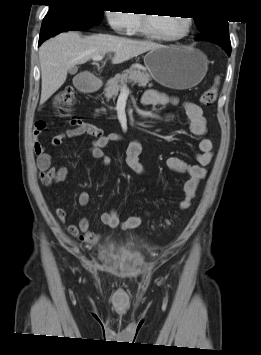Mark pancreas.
<instances>
[{
  "label": "pancreas",
  "instance_id": "1",
  "mask_svg": "<svg viewBox=\"0 0 261 355\" xmlns=\"http://www.w3.org/2000/svg\"><path fill=\"white\" fill-rule=\"evenodd\" d=\"M151 81V77L148 73L142 71L139 68L130 67L124 70L121 74L115 75L111 78L104 89L105 97L107 100L115 99L118 92L122 89L124 85L132 82L133 84H138L140 87H145ZM151 86V84H149Z\"/></svg>",
  "mask_w": 261,
  "mask_h": 355
}]
</instances>
